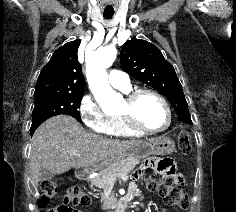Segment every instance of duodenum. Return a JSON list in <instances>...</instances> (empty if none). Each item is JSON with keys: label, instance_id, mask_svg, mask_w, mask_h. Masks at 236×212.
I'll list each match as a JSON object with an SVG mask.
<instances>
[{"label": "duodenum", "instance_id": "duodenum-1", "mask_svg": "<svg viewBox=\"0 0 236 212\" xmlns=\"http://www.w3.org/2000/svg\"><path fill=\"white\" fill-rule=\"evenodd\" d=\"M91 173V170L89 168H79L77 170V177L80 180L86 179ZM134 193L133 191H130L127 195L121 197L118 199L114 205V208L110 212H128V209L133 201Z\"/></svg>", "mask_w": 236, "mask_h": 212}]
</instances>
